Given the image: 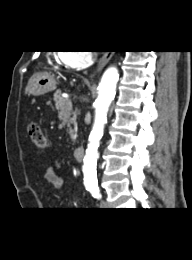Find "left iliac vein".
Instances as JSON below:
<instances>
[{"label":"left iliac vein","instance_id":"1","mask_svg":"<svg viewBox=\"0 0 192 260\" xmlns=\"http://www.w3.org/2000/svg\"><path fill=\"white\" fill-rule=\"evenodd\" d=\"M100 206H101L102 208H108V207H109V204H108L107 202H105V201H101V202H100Z\"/></svg>","mask_w":192,"mask_h":260}]
</instances>
